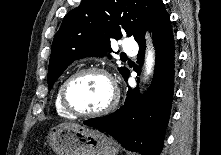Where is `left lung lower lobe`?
Instances as JSON below:
<instances>
[{
  "label": "left lung lower lobe",
  "mask_w": 221,
  "mask_h": 155,
  "mask_svg": "<svg viewBox=\"0 0 221 155\" xmlns=\"http://www.w3.org/2000/svg\"><path fill=\"white\" fill-rule=\"evenodd\" d=\"M144 29L152 32L156 48V64L150 88L142 96L137 89L129 88L126 101L120 109L83 123L107 132L129 151L160 155L171 111L175 55L170 18L163 3L151 14ZM136 41L139 44L137 59L141 64L145 51L144 31ZM128 77L129 71L124 79Z\"/></svg>",
  "instance_id": "0a47b994"
}]
</instances>
